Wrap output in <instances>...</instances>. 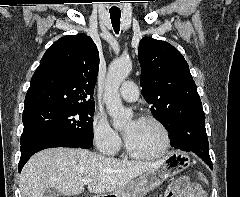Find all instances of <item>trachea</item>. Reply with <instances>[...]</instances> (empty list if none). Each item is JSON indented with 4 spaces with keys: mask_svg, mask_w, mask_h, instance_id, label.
Returning <instances> with one entry per match:
<instances>
[{
    "mask_svg": "<svg viewBox=\"0 0 240 197\" xmlns=\"http://www.w3.org/2000/svg\"><path fill=\"white\" fill-rule=\"evenodd\" d=\"M120 12H110L111 23L116 34L120 31Z\"/></svg>",
    "mask_w": 240,
    "mask_h": 197,
    "instance_id": "3493384b",
    "label": "trachea"
}]
</instances>
